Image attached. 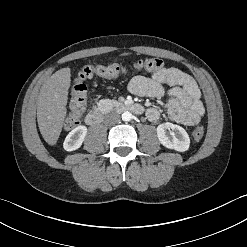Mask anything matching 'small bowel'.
I'll return each mask as SVG.
<instances>
[{
	"label": "small bowel",
	"instance_id": "small-bowel-1",
	"mask_svg": "<svg viewBox=\"0 0 247 247\" xmlns=\"http://www.w3.org/2000/svg\"><path fill=\"white\" fill-rule=\"evenodd\" d=\"M128 89L137 96L166 98L168 115L178 123L194 125L204 115L195 80L177 68H163L150 77L136 76L129 82ZM146 117L155 122L160 113L151 107L147 109Z\"/></svg>",
	"mask_w": 247,
	"mask_h": 247
}]
</instances>
